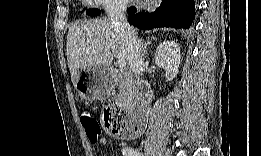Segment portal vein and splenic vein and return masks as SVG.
Returning <instances> with one entry per match:
<instances>
[{
  "mask_svg": "<svg viewBox=\"0 0 261 156\" xmlns=\"http://www.w3.org/2000/svg\"><path fill=\"white\" fill-rule=\"evenodd\" d=\"M118 65L120 68H124L126 66L125 59H118Z\"/></svg>",
  "mask_w": 261,
  "mask_h": 156,
  "instance_id": "18ae733b",
  "label": "portal vein and splenic vein"
}]
</instances>
